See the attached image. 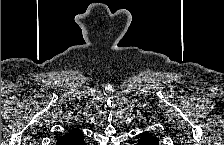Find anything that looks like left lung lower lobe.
I'll return each instance as SVG.
<instances>
[{
	"label": "left lung lower lobe",
	"mask_w": 224,
	"mask_h": 145,
	"mask_svg": "<svg viewBox=\"0 0 224 145\" xmlns=\"http://www.w3.org/2000/svg\"><path fill=\"white\" fill-rule=\"evenodd\" d=\"M158 139L151 134L143 133L140 137L138 145H158Z\"/></svg>",
	"instance_id": "obj_1"
}]
</instances>
